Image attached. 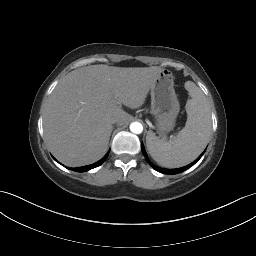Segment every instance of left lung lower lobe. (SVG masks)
<instances>
[{
    "mask_svg": "<svg viewBox=\"0 0 256 256\" xmlns=\"http://www.w3.org/2000/svg\"><path fill=\"white\" fill-rule=\"evenodd\" d=\"M141 150H142V153H143V155L145 156V158H146L148 164H149L151 167H153L155 170H157V171H159V172H161V173H163V174H178V173H181V172L187 170V169L190 168L192 165H194V164L202 157V155H203L204 152H205V151H204L194 162H192L191 164H189V165H187V166H184V167H181V168H177V169H163V168H160V167H158V166L153 165V164L148 160V156H147V154H146V152H145V149H144L143 144L141 145Z\"/></svg>",
    "mask_w": 256,
    "mask_h": 256,
    "instance_id": "1",
    "label": "left lung lower lobe"
}]
</instances>
